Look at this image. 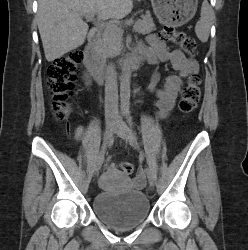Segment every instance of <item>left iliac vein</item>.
<instances>
[{"label":"left iliac vein","instance_id":"obj_1","mask_svg":"<svg viewBox=\"0 0 248 250\" xmlns=\"http://www.w3.org/2000/svg\"><path fill=\"white\" fill-rule=\"evenodd\" d=\"M115 133L119 135L122 139H124L127 143H129V145L133 148L136 149L138 147L131 129L125 122L122 121V119L119 118V116L116 118ZM146 173L148 182L150 186L153 187L155 184V174L150 168L147 169Z\"/></svg>","mask_w":248,"mask_h":250}]
</instances>
